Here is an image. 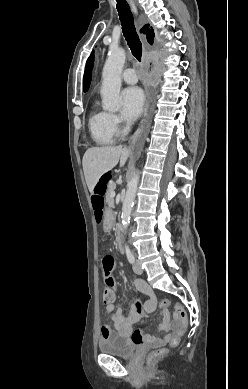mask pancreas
<instances>
[{"mask_svg": "<svg viewBox=\"0 0 248 389\" xmlns=\"http://www.w3.org/2000/svg\"><path fill=\"white\" fill-rule=\"evenodd\" d=\"M115 188H116V184L114 182H110L106 193V203L108 204L109 208H112L114 205V200L111 194L114 192Z\"/></svg>", "mask_w": 248, "mask_h": 389, "instance_id": "cf45deb5", "label": "pancreas"}]
</instances>
